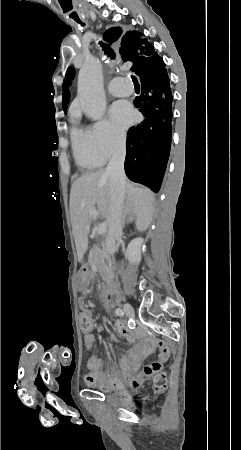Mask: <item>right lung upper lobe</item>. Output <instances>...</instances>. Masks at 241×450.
Here are the masks:
<instances>
[{
    "instance_id": "right-lung-upper-lobe-1",
    "label": "right lung upper lobe",
    "mask_w": 241,
    "mask_h": 450,
    "mask_svg": "<svg viewBox=\"0 0 241 450\" xmlns=\"http://www.w3.org/2000/svg\"><path fill=\"white\" fill-rule=\"evenodd\" d=\"M122 30L119 27H113L106 31L104 39L108 42H114L121 36ZM142 33L138 31H128L120 38L121 44L119 53L124 62L133 63L131 70L135 73L146 64H155L162 58L154 51V47L147 39L141 38ZM74 69L68 68L64 80L74 77Z\"/></svg>"
}]
</instances>
